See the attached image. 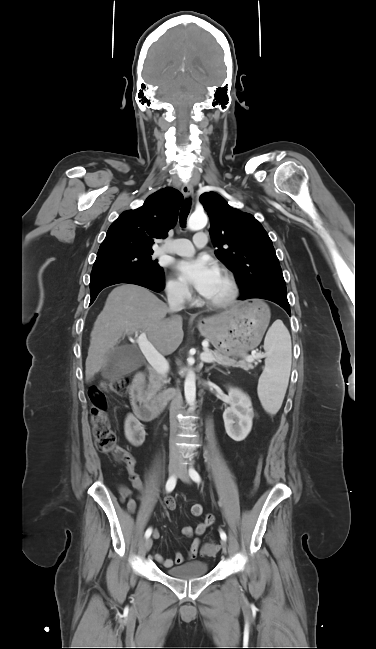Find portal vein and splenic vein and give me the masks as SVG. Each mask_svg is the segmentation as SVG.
<instances>
[{"label": "portal vein and splenic vein", "mask_w": 376, "mask_h": 649, "mask_svg": "<svg viewBox=\"0 0 376 649\" xmlns=\"http://www.w3.org/2000/svg\"><path fill=\"white\" fill-rule=\"evenodd\" d=\"M137 343L144 354L148 363L152 368L161 373L166 374L169 370V364L162 354H160L153 344L147 339L146 333H141L137 338ZM258 355H249L245 357L247 362H253L257 359ZM202 362L211 363L215 361V356L211 353H206L200 356Z\"/></svg>", "instance_id": "obj_1"}]
</instances>
